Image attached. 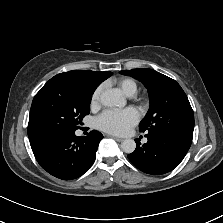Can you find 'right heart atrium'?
<instances>
[{
	"label": "right heart atrium",
	"mask_w": 223,
	"mask_h": 223,
	"mask_svg": "<svg viewBox=\"0 0 223 223\" xmlns=\"http://www.w3.org/2000/svg\"><path fill=\"white\" fill-rule=\"evenodd\" d=\"M100 94H101V87H97L91 95V105L92 106H96L99 104Z\"/></svg>",
	"instance_id": "1"
}]
</instances>
